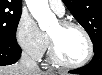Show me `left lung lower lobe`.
Here are the masks:
<instances>
[{
    "label": "left lung lower lobe",
    "instance_id": "left-lung-lower-lobe-1",
    "mask_svg": "<svg viewBox=\"0 0 102 75\" xmlns=\"http://www.w3.org/2000/svg\"><path fill=\"white\" fill-rule=\"evenodd\" d=\"M69 73L81 75H102V48L95 51V55L88 65L71 70Z\"/></svg>",
    "mask_w": 102,
    "mask_h": 75
}]
</instances>
